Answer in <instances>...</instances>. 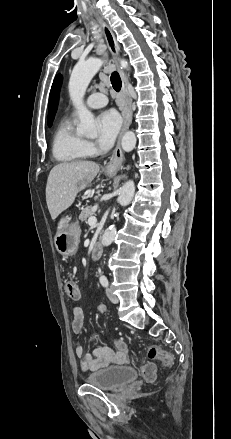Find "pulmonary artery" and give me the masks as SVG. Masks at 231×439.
Instances as JSON below:
<instances>
[{"label":"pulmonary artery","instance_id":"1","mask_svg":"<svg viewBox=\"0 0 231 439\" xmlns=\"http://www.w3.org/2000/svg\"><path fill=\"white\" fill-rule=\"evenodd\" d=\"M108 99L105 94L100 92H94L90 94L86 100L88 107L97 109L106 106Z\"/></svg>","mask_w":231,"mask_h":439}]
</instances>
